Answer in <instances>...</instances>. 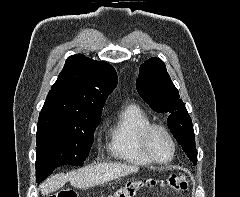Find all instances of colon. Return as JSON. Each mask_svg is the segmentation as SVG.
<instances>
[{"instance_id":"obj_1","label":"colon","mask_w":240,"mask_h":197,"mask_svg":"<svg viewBox=\"0 0 240 197\" xmlns=\"http://www.w3.org/2000/svg\"><path fill=\"white\" fill-rule=\"evenodd\" d=\"M150 185H157L161 189L170 192H176L180 190H186L188 188V182L184 177L179 176H169L162 179H149L147 180ZM144 182L142 181H130L123 186L116 189L108 197H134L137 192L141 189ZM48 197H77V193L73 190H61L55 194Z\"/></svg>"}]
</instances>
